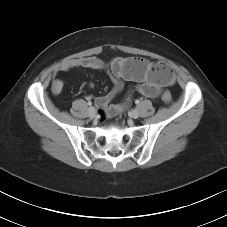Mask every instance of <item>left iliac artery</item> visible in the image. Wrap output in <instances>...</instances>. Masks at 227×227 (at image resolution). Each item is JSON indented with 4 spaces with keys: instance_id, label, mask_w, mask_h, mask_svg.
<instances>
[{
    "instance_id": "obj_1",
    "label": "left iliac artery",
    "mask_w": 227,
    "mask_h": 227,
    "mask_svg": "<svg viewBox=\"0 0 227 227\" xmlns=\"http://www.w3.org/2000/svg\"><path fill=\"white\" fill-rule=\"evenodd\" d=\"M135 103L138 105L140 103V101L139 100H136Z\"/></svg>"
}]
</instances>
